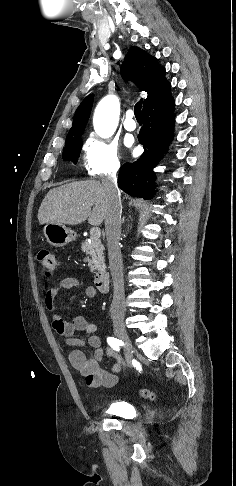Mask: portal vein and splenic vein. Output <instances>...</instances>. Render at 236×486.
<instances>
[{
	"label": "portal vein and splenic vein",
	"mask_w": 236,
	"mask_h": 486,
	"mask_svg": "<svg viewBox=\"0 0 236 486\" xmlns=\"http://www.w3.org/2000/svg\"><path fill=\"white\" fill-rule=\"evenodd\" d=\"M90 234L92 238H99L101 236V230L98 227H93L90 230Z\"/></svg>",
	"instance_id": "portal-vein-and-splenic-vein-1"
}]
</instances>
